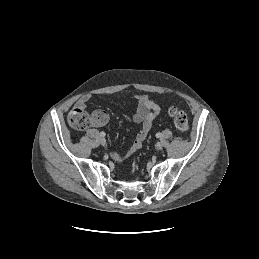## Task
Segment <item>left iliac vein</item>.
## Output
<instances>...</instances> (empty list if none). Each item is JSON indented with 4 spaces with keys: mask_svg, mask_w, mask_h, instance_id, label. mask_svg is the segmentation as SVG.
<instances>
[{
    "mask_svg": "<svg viewBox=\"0 0 259 259\" xmlns=\"http://www.w3.org/2000/svg\"><path fill=\"white\" fill-rule=\"evenodd\" d=\"M162 143L161 142H157V144H156V149L157 150H161L162 149Z\"/></svg>",
    "mask_w": 259,
    "mask_h": 259,
    "instance_id": "1",
    "label": "left iliac vein"
}]
</instances>
